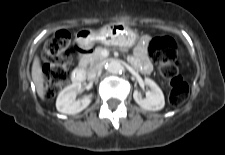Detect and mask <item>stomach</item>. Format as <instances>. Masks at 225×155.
Masks as SVG:
<instances>
[{"label": "stomach", "mask_w": 225, "mask_h": 155, "mask_svg": "<svg viewBox=\"0 0 225 155\" xmlns=\"http://www.w3.org/2000/svg\"><path fill=\"white\" fill-rule=\"evenodd\" d=\"M136 39V33L123 23L106 25L97 32L87 29L81 30L76 37L78 44L84 47H90L95 42H101L105 45L131 47Z\"/></svg>", "instance_id": "0dacf381"}]
</instances>
